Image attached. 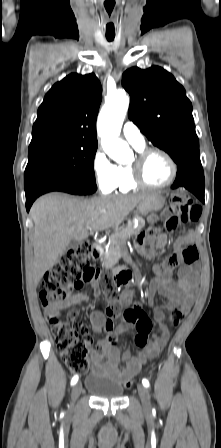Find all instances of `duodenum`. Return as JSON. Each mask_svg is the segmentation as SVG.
I'll use <instances>...</instances> for the list:
<instances>
[{
	"label": "duodenum",
	"instance_id": "duodenum-1",
	"mask_svg": "<svg viewBox=\"0 0 221 448\" xmlns=\"http://www.w3.org/2000/svg\"><path fill=\"white\" fill-rule=\"evenodd\" d=\"M104 253L102 243H95L90 247V255L93 259H99ZM131 273L128 270H120L114 274V279L118 284H128L131 280Z\"/></svg>",
	"mask_w": 221,
	"mask_h": 448
}]
</instances>
